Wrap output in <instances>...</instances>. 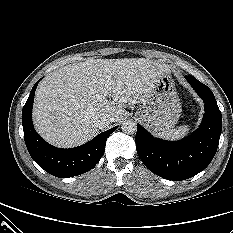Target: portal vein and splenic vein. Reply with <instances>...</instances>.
<instances>
[{"label":"portal vein and splenic vein","instance_id":"1","mask_svg":"<svg viewBox=\"0 0 233 233\" xmlns=\"http://www.w3.org/2000/svg\"><path fill=\"white\" fill-rule=\"evenodd\" d=\"M111 85H112V82L110 81H107L105 83V86H106V93L109 94L111 92Z\"/></svg>","mask_w":233,"mask_h":233}]
</instances>
